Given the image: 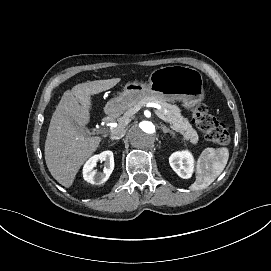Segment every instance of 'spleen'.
Returning a JSON list of instances; mask_svg holds the SVG:
<instances>
[{"label": "spleen", "instance_id": "3e777b00", "mask_svg": "<svg viewBox=\"0 0 271 271\" xmlns=\"http://www.w3.org/2000/svg\"><path fill=\"white\" fill-rule=\"evenodd\" d=\"M229 158L227 148L207 149L197 162L196 181L189 187L196 191L207 188L222 173Z\"/></svg>", "mask_w": 271, "mask_h": 271}]
</instances>
